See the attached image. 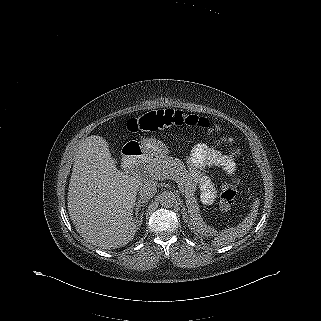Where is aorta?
Returning a JSON list of instances; mask_svg holds the SVG:
<instances>
[{
    "label": "aorta",
    "instance_id": "762f6f07",
    "mask_svg": "<svg viewBox=\"0 0 321 321\" xmlns=\"http://www.w3.org/2000/svg\"><path fill=\"white\" fill-rule=\"evenodd\" d=\"M159 201L162 207L171 208L176 202V196L172 192L165 191L160 194Z\"/></svg>",
    "mask_w": 321,
    "mask_h": 321
}]
</instances>
